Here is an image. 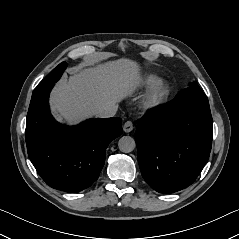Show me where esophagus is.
Returning a JSON list of instances; mask_svg holds the SVG:
<instances>
[{"label":"esophagus","instance_id":"esophagus-1","mask_svg":"<svg viewBox=\"0 0 239 239\" xmlns=\"http://www.w3.org/2000/svg\"><path fill=\"white\" fill-rule=\"evenodd\" d=\"M133 123L131 121H127L123 125V131L129 133L133 130Z\"/></svg>","mask_w":239,"mask_h":239}]
</instances>
